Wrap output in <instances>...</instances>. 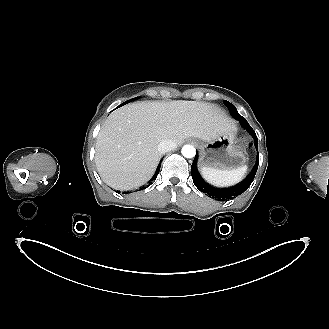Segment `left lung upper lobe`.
Returning <instances> with one entry per match:
<instances>
[{
  "label": "left lung upper lobe",
  "mask_w": 329,
  "mask_h": 329,
  "mask_svg": "<svg viewBox=\"0 0 329 329\" xmlns=\"http://www.w3.org/2000/svg\"><path fill=\"white\" fill-rule=\"evenodd\" d=\"M224 102H225L226 107L229 109L231 115H232L235 119H237L238 121H241V119H245V118H243V117L238 113L236 107H235L233 104H231L230 102H228V101H226V100H225Z\"/></svg>",
  "instance_id": "1"
}]
</instances>
